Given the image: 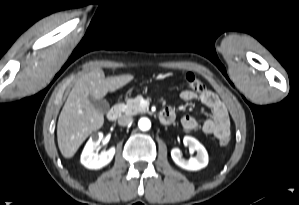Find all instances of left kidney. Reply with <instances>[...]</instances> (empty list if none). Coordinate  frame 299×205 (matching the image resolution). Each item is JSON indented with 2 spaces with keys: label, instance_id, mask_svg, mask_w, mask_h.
Listing matches in <instances>:
<instances>
[{
  "label": "left kidney",
  "instance_id": "left-kidney-1",
  "mask_svg": "<svg viewBox=\"0 0 299 205\" xmlns=\"http://www.w3.org/2000/svg\"><path fill=\"white\" fill-rule=\"evenodd\" d=\"M183 143L190 149L195 150L197 154L195 157L185 160L182 157L181 151L178 148H174L171 151V157L175 164L189 171H197L206 167L208 164V153L205 147L198 140L191 136H185Z\"/></svg>",
  "mask_w": 299,
  "mask_h": 205
}]
</instances>
